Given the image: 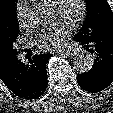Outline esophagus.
I'll return each instance as SVG.
<instances>
[{
    "instance_id": "esophagus-1",
    "label": "esophagus",
    "mask_w": 113,
    "mask_h": 113,
    "mask_svg": "<svg viewBox=\"0 0 113 113\" xmlns=\"http://www.w3.org/2000/svg\"><path fill=\"white\" fill-rule=\"evenodd\" d=\"M62 53H64L67 56L73 57V56H75L77 54V51L70 49V50L63 51Z\"/></svg>"
}]
</instances>
